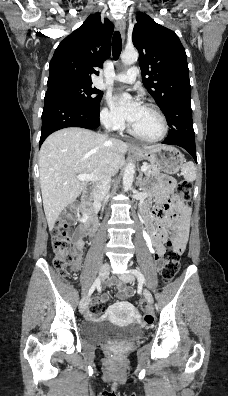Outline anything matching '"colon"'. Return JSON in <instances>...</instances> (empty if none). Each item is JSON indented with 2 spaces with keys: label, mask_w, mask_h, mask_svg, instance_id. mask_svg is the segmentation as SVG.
<instances>
[{
  "label": "colon",
  "mask_w": 228,
  "mask_h": 396,
  "mask_svg": "<svg viewBox=\"0 0 228 396\" xmlns=\"http://www.w3.org/2000/svg\"><path fill=\"white\" fill-rule=\"evenodd\" d=\"M167 184L175 187L181 199L188 202L191 198V185L185 180L175 182L171 178L166 179ZM74 211L72 209L66 210L56 220L52 228V249L55 255L53 264L58 274L62 277H67L74 268L75 254L71 251V241L69 235V228L73 221ZM169 249L165 253V261L162 268V278L165 283H169L177 275L180 268V258L182 250L173 247L169 244ZM141 307H145L144 303H140ZM104 311V307L100 303L93 304L90 308V316L98 318ZM147 323L152 322V317L145 315Z\"/></svg>",
  "instance_id": "5ec220e1"
}]
</instances>
